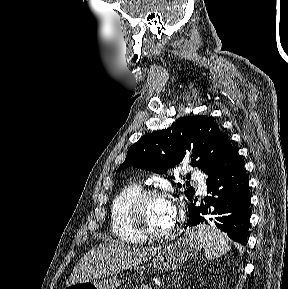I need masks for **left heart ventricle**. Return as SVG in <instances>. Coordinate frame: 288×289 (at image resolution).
I'll use <instances>...</instances> for the list:
<instances>
[{"label":"left heart ventricle","instance_id":"left-heart-ventricle-1","mask_svg":"<svg viewBox=\"0 0 288 289\" xmlns=\"http://www.w3.org/2000/svg\"><path fill=\"white\" fill-rule=\"evenodd\" d=\"M144 220L151 230L164 231L173 225L171 203L162 199L149 200L144 207Z\"/></svg>","mask_w":288,"mask_h":289}]
</instances>
